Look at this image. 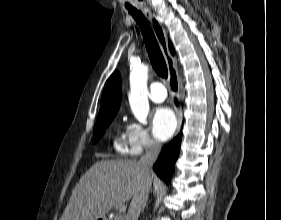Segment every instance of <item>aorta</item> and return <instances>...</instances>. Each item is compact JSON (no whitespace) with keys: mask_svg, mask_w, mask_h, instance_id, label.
<instances>
[{"mask_svg":"<svg viewBox=\"0 0 281 220\" xmlns=\"http://www.w3.org/2000/svg\"><path fill=\"white\" fill-rule=\"evenodd\" d=\"M147 79V65L141 64L132 68L128 99L135 118L143 124L147 123V116L149 113Z\"/></svg>","mask_w":281,"mask_h":220,"instance_id":"1","label":"aorta"}]
</instances>
